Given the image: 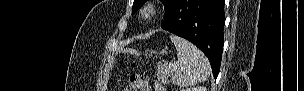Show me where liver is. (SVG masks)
<instances>
[{
	"instance_id": "1",
	"label": "liver",
	"mask_w": 304,
	"mask_h": 91,
	"mask_svg": "<svg viewBox=\"0 0 304 91\" xmlns=\"http://www.w3.org/2000/svg\"><path fill=\"white\" fill-rule=\"evenodd\" d=\"M126 51L131 52V53L135 52V50H132V49H127Z\"/></svg>"
}]
</instances>
